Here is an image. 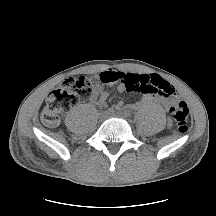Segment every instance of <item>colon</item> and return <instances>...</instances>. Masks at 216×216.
<instances>
[{
    "label": "colon",
    "instance_id": "colon-1",
    "mask_svg": "<svg viewBox=\"0 0 216 216\" xmlns=\"http://www.w3.org/2000/svg\"><path fill=\"white\" fill-rule=\"evenodd\" d=\"M129 88L134 91L154 92L170 98L169 112L180 133L188 130L189 109L187 104L175 97V90L168 82H158L150 86L138 81H129ZM99 83L94 78L84 76L71 77L53 90L47 97L41 112V121L47 127L59 124L61 116L76 106L80 100L90 98L97 90Z\"/></svg>",
    "mask_w": 216,
    "mask_h": 216
}]
</instances>
